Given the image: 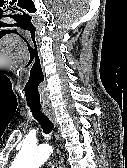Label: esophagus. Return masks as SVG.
<instances>
[{
  "label": "esophagus",
  "instance_id": "1",
  "mask_svg": "<svg viewBox=\"0 0 127 168\" xmlns=\"http://www.w3.org/2000/svg\"><path fill=\"white\" fill-rule=\"evenodd\" d=\"M43 112L52 121V123L56 127L57 126L56 118H55V114H54L52 108L51 107H43ZM56 163H57L58 168H65L63 158H62L61 152L59 150H57V154H56Z\"/></svg>",
  "mask_w": 127,
  "mask_h": 168
}]
</instances>
